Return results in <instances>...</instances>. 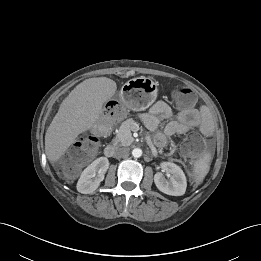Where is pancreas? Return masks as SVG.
Masks as SVG:
<instances>
[{"label": "pancreas", "mask_w": 261, "mask_h": 261, "mask_svg": "<svg viewBox=\"0 0 261 261\" xmlns=\"http://www.w3.org/2000/svg\"><path fill=\"white\" fill-rule=\"evenodd\" d=\"M137 127V123L133 119L124 121L113 139V144L121 146H129L134 141L131 131Z\"/></svg>", "instance_id": "obj_1"}]
</instances>
